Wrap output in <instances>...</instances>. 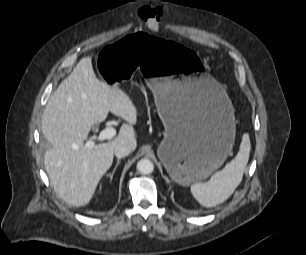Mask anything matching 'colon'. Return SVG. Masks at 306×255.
<instances>
[{
    "mask_svg": "<svg viewBox=\"0 0 306 255\" xmlns=\"http://www.w3.org/2000/svg\"><path fill=\"white\" fill-rule=\"evenodd\" d=\"M162 16L159 6H145L140 10V17L151 30H157Z\"/></svg>",
    "mask_w": 306,
    "mask_h": 255,
    "instance_id": "5ec220e1",
    "label": "colon"
}]
</instances>
